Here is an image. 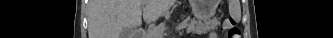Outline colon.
Listing matches in <instances>:
<instances>
[{"label":"colon","mask_w":333,"mask_h":38,"mask_svg":"<svg viewBox=\"0 0 333 38\" xmlns=\"http://www.w3.org/2000/svg\"><path fill=\"white\" fill-rule=\"evenodd\" d=\"M223 31L227 38H240V29L238 28L237 22L234 18L228 17L223 23Z\"/></svg>","instance_id":"1"}]
</instances>
